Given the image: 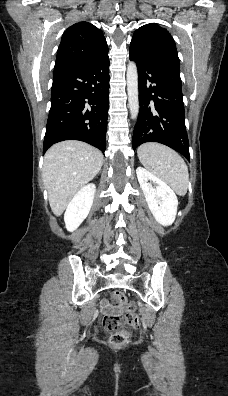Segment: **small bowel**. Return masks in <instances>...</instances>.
I'll return each mask as SVG.
<instances>
[{"instance_id":"c3829d8e","label":"small bowel","mask_w":228,"mask_h":396,"mask_svg":"<svg viewBox=\"0 0 228 396\" xmlns=\"http://www.w3.org/2000/svg\"><path fill=\"white\" fill-rule=\"evenodd\" d=\"M102 311L104 313H111V312H114L115 310L112 308V306L107 301H103L102 302Z\"/></svg>"}]
</instances>
